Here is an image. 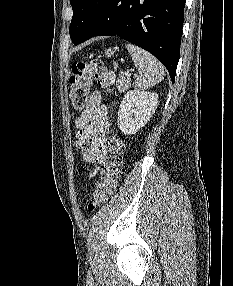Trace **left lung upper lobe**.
I'll return each instance as SVG.
<instances>
[{"mask_svg":"<svg viewBox=\"0 0 233 286\" xmlns=\"http://www.w3.org/2000/svg\"><path fill=\"white\" fill-rule=\"evenodd\" d=\"M104 0H70L73 17L70 24V37L74 43L86 30Z\"/></svg>","mask_w":233,"mask_h":286,"instance_id":"1","label":"left lung upper lobe"}]
</instances>
